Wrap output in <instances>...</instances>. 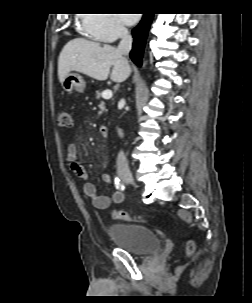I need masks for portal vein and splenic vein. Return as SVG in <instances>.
I'll list each match as a JSON object with an SVG mask.
<instances>
[{"label":"portal vein and splenic vein","instance_id":"portal-vein-and-splenic-vein-1","mask_svg":"<svg viewBox=\"0 0 252 303\" xmlns=\"http://www.w3.org/2000/svg\"><path fill=\"white\" fill-rule=\"evenodd\" d=\"M112 95H113V93H112V91L109 90V89H106V90H104V91L102 92V97H103L104 99H106V100L111 99V98H112Z\"/></svg>","mask_w":252,"mask_h":303}]
</instances>
